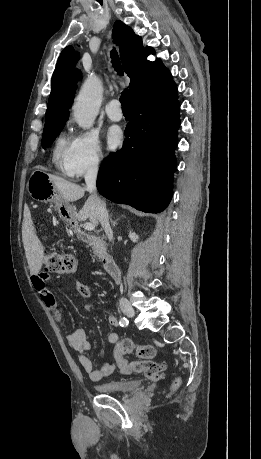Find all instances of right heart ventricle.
<instances>
[{"instance_id": "e07e8e85", "label": "right heart ventricle", "mask_w": 261, "mask_h": 459, "mask_svg": "<svg viewBox=\"0 0 261 459\" xmlns=\"http://www.w3.org/2000/svg\"><path fill=\"white\" fill-rule=\"evenodd\" d=\"M72 151V141L65 135H60L53 147L52 162L62 173L70 175L68 171V162Z\"/></svg>"}]
</instances>
